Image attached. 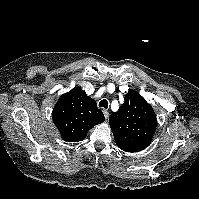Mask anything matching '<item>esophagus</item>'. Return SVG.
<instances>
[{
  "instance_id": "34e87169",
  "label": "esophagus",
  "mask_w": 199,
  "mask_h": 199,
  "mask_svg": "<svg viewBox=\"0 0 199 199\" xmlns=\"http://www.w3.org/2000/svg\"><path fill=\"white\" fill-rule=\"evenodd\" d=\"M103 114H104V117H105V119H108V117H109V112L107 111V110H103Z\"/></svg>"
}]
</instances>
